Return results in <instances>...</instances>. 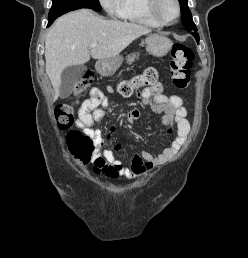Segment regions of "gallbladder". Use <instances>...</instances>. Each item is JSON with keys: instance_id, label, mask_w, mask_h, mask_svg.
<instances>
[{"instance_id": "gallbladder-1", "label": "gallbladder", "mask_w": 248, "mask_h": 258, "mask_svg": "<svg viewBox=\"0 0 248 258\" xmlns=\"http://www.w3.org/2000/svg\"><path fill=\"white\" fill-rule=\"evenodd\" d=\"M86 70V66L82 64L69 66L63 70L59 94L61 98L64 99L71 95Z\"/></svg>"}]
</instances>
